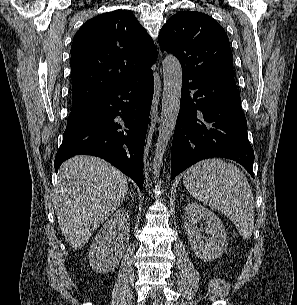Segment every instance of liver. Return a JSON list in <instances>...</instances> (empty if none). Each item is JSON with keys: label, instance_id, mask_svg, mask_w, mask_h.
I'll return each mask as SVG.
<instances>
[{"label": "liver", "instance_id": "obj_1", "mask_svg": "<svg viewBox=\"0 0 297 305\" xmlns=\"http://www.w3.org/2000/svg\"><path fill=\"white\" fill-rule=\"evenodd\" d=\"M127 190L126 176L100 158L79 155L60 166L54 208L60 230L73 249L86 244L120 206Z\"/></svg>", "mask_w": 297, "mask_h": 305}]
</instances>
